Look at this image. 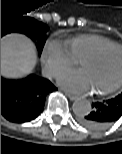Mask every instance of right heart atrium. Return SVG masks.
Segmentation results:
<instances>
[{
	"instance_id": "1",
	"label": "right heart atrium",
	"mask_w": 122,
	"mask_h": 154,
	"mask_svg": "<svg viewBox=\"0 0 122 154\" xmlns=\"http://www.w3.org/2000/svg\"><path fill=\"white\" fill-rule=\"evenodd\" d=\"M42 59L45 73L49 77L56 76L61 71L76 64V60L72 57L66 43L59 39H52L46 43Z\"/></svg>"
}]
</instances>
